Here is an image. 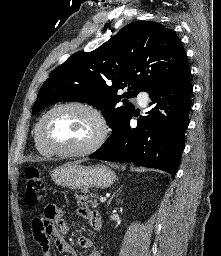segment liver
<instances>
[{
  "instance_id": "1",
  "label": "liver",
  "mask_w": 221,
  "mask_h": 256,
  "mask_svg": "<svg viewBox=\"0 0 221 256\" xmlns=\"http://www.w3.org/2000/svg\"><path fill=\"white\" fill-rule=\"evenodd\" d=\"M74 163H81V161H76V162H74Z\"/></svg>"
}]
</instances>
